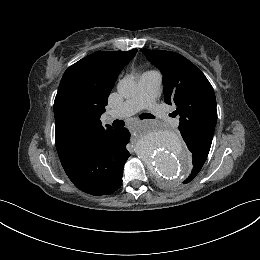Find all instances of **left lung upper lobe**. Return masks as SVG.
I'll use <instances>...</instances> for the list:
<instances>
[{
  "label": "left lung upper lobe",
  "instance_id": "5c2ea615",
  "mask_svg": "<svg viewBox=\"0 0 260 260\" xmlns=\"http://www.w3.org/2000/svg\"><path fill=\"white\" fill-rule=\"evenodd\" d=\"M163 74L164 100L176 105L179 130L188 145L209 153L217 121L214 90L205 75L182 55L161 50L141 49ZM206 160L199 159V170Z\"/></svg>",
  "mask_w": 260,
  "mask_h": 260
}]
</instances>
